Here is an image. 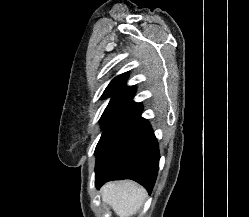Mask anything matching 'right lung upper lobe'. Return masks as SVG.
Wrapping results in <instances>:
<instances>
[{
    "instance_id": "obj_1",
    "label": "right lung upper lobe",
    "mask_w": 249,
    "mask_h": 217,
    "mask_svg": "<svg viewBox=\"0 0 249 217\" xmlns=\"http://www.w3.org/2000/svg\"><path fill=\"white\" fill-rule=\"evenodd\" d=\"M128 78V73H123L115 77L107 86L102 96L109 95H124L125 93L132 90L133 86H125L126 79Z\"/></svg>"
}]
</instances>
